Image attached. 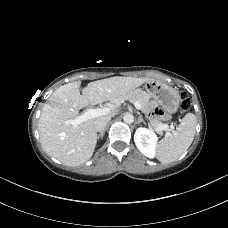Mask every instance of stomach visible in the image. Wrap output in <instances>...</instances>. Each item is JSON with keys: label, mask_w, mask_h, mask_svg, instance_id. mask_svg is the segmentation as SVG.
<instances>
[{"label": "stomach", "mask_w": 228, "mask_h": 228, "mask_svg": "<svg viewBox=\"0 0 228 228\" xmlns=\"http://www.w3.org/2000/svg\"><path fill=\"white\" fill-rule=\"evenodd\" d=\"M143 88L145 93L156 100L167 112L177 111L180 105V95L176 89L157 80L145 82Z\"/></svg>", "instance_id": "0dacf381"}]
</instances>
